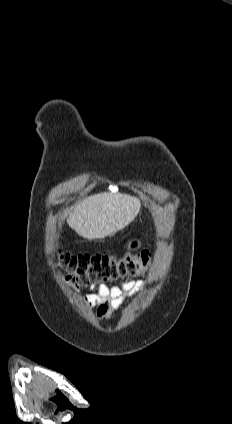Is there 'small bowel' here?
<instances>
[{
  "label": "small bowel",
  "mask_w": 232,
  "mask_h": 424,
  "mask_svg": "<svg viewBox=\"0 0 232 424\" xmlns=\"http://www.w3.org/2000/svg\"><path fill=\"white\" fill-rule=\"evenodd\" d=\"M144 289L142 281H126L118 285L100 284L92 286V292L84 297L87 307L96 308L98 319H104L109 313L120 307L126 298Z\"/></svg>",
  "instance_id": "small-bowel-1"
}]
</instances>
